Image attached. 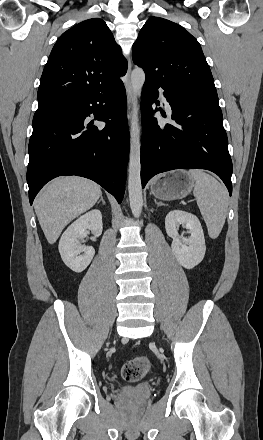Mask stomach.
<instances>
[{
    "label": "stomach",
    "instance_id": "1",
    "mask_svg": "<svg viewBox=\"0 0 263 440\" xmlns=\"http://www.w3.org/2000/svg\"><path fill=\"white\" fill-rule=\"evenodd\" d=\"M195 186V181L185 170L171 171L156 177L151 183V194L170 201L186 197Z\"/></svg>",
    "mask_w": 263,
    "mask_h": 440
}]
</instances>
